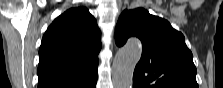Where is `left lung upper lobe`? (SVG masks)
Instances as JSON below:
<instances>
[{"label": "left lung upper lobe", "instance_id": "1", "mask_svg": "<svg viewBox=\"0 0 223 88\" xmlns=\"http://www.w3.org/2000/svg\"><path fill=\"white\" fill-rule=\"evenodd\" d=\"M131 36L143 46L133 83L139 88H198L192 52L182 33L143 8L122 12L115 31L118 46Z\"/></svg>", "mask_w": 223, "mask_h": 88}]
</instances>
